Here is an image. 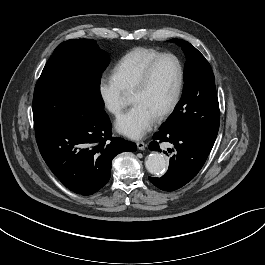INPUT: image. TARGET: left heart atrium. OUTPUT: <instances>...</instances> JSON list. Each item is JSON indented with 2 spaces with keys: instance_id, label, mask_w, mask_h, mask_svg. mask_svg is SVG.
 <instances>
[{
  "instance_id": "1",
  "label": "left heart atrium",
  "mask_w": 265,
  "mask_h": 265,
  "mask_svg": "<svg viewBox=\"0 0 265 265\" xmlns=\"http://www.w3.org/2000/svg\"><path fill=\"white\" fill-rule=\"evenodd\" d=\"M157 116L141 104H134L115 122L118 132L132 138L143 137L154 125Z\"/></svg>"
}]
</instances>
